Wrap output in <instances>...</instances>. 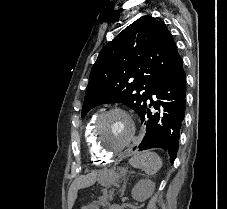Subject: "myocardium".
<instances>
[{
    "label": "myocardium",
    "mask_w": 227,
    "mask_h": 209,
    "mask_svg": "<svg viewBox=\"0 0 227 209\" xmlns=\"http://www.w3.org/2000/svg\"><path fill=\"white\" fill-rule=\"evenodd\" d=\"M113 114H121L128 120V122L131 126V134H130L129 139L125 143H123L121 146L116 147L114 149H107L100 140V129H101V126H102L104 120L108 116L113 115ZM136 133H137V130H136L135 123H134L132 117L129 115V113L123 109L115 107V108L107 109L97 116L94 126H93L92 138H93V143L100 154L107 156V157H114V156L118 155L119 153H121L124 149H126L130 145L132 140L136 137Z\"/></svg>",
    "instance_id": "1"
}]
</instances>
